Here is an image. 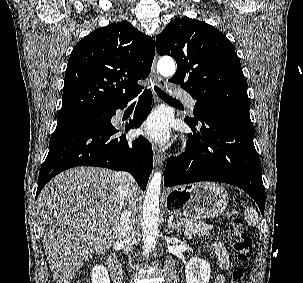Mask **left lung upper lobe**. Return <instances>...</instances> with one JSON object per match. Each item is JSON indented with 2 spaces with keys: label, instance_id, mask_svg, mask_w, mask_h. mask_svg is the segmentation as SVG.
I'll return each instance as SVG.
<instances>
[{
  "label": "left lung upper lobe",
  "instance_id": "5c2ea615",
  "mask_svg": "<svg viewBox=\"0 0 303 283\" xmlns=\"http://www.w3.org/2000/svg\"><path fill=\"white\" fill-rule=\"evenodd\" d=\"M160 55H170L177 71L169 80L195 100L194 118L204 106L249 111L247 83L231 42L211 25L188 17L173 19L156 37Z\"/></svg>",
  "mask_w": 303,
  "mask_h": 283
}]
</instances>
